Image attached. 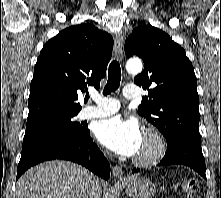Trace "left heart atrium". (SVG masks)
<instances>
[{"label": "left heart atrium", "mask_w": 221, "mask_h": 198, "mask_svg": "<svg viewBox=\"0 0 221 198\" xmlns=\"http://www.w3.org/2000/svg\"><path fill=\"white\" fill-rule=\"evenodd\" d=\"M95 136L104 146L124 156L135 155L143 140L137 121L119 116L98 122Z\"/></svg>", "instance_id": "1"}]
</instances>
